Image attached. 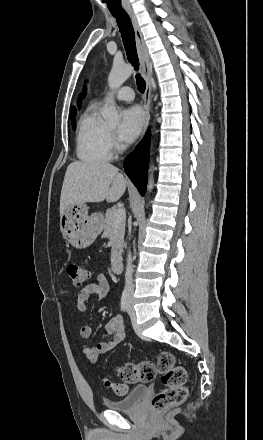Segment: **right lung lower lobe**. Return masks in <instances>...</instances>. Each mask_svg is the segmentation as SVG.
Here are the masks:
<instances>
[{
    "mask_svg": "<svg viewBox=\"0 0 263 440\" xmlns=\"http://www.w3.org/2000/svg\"><path fill=\"white\" fill-rule=\"evenodd\" d=\"M150 151V131L124 161V169L141 195L145 194Z\"/></svg>",
    "mask_w": 263,
    "mask_h": 440,
    "instance_id": "obj_1",
    "label": "right lung lower lobe"
}]
</instances>
